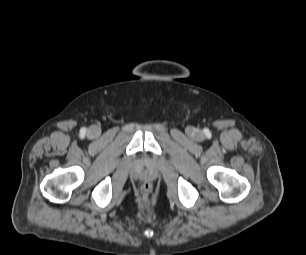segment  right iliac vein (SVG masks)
I'll return each mask as SVG.
<instances>
[{
	"label": "right iliac vein",
	"mask_w": 306,
	"mask_h": 255,
	"mask_svg": "<svg viewBox=\"0 0 306 255\" xmlns=\"http://www.w3.org/2000/svg\"><path fill=\"white\" fill-rule=\"evenodd\" d=\"M101 130L98 126H91L88 130V135L92 138L99 136Z\"/></svg>",
	"instance_id": "1"
}]
</instances>
